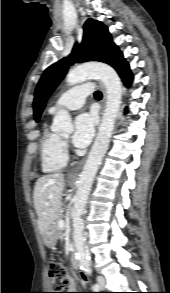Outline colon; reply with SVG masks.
<instances>
[{
  "instance_id": "5ec220e1",
  "label": "colon",
  "mask_w": 170,
  "mask_h": 293,
  "mask_svg": "<svg viewBox=\"0 0 170 293\" xmlns=\"http://www.w3.org/2000/svg\"><path fill=\"white\" fill-rule=\"evenodd\" d=\"M48 275L54 292L51 293H63V291L70 285L68 271L59 262L52 261L48 266Z\"/></svg>"
}]
</instances>
